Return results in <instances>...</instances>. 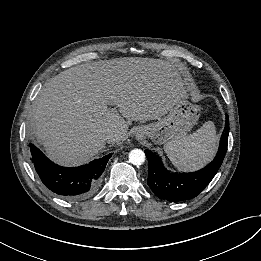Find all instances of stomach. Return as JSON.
I'll return each instance as SVG.
<instances>
[{
  "mask_svg": "<svg viewBox=\"0 0 261 261\" xmlns=\"http://www.w3.org/2000/svg\"><path fill=\"white\" fill-rule=\"evenodd\" d=\"M200 108L184 99L177 102L166 116L156 122L141 126L138 136L145 135L156 144H164L182 139L197 123Z\"/></svg>",
  "mask_w": 261,
  "mask_h": 261,
  "instance_id": "0dacf381",
  "label": "stomach"
}]
</instances>
